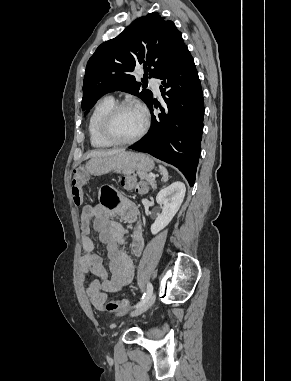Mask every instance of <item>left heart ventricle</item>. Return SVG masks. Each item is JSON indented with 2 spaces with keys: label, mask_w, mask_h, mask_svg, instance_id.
<instances>
[{
  "label": "left heart ventricle",
  "mask_w": 291,
  "mask_h": 381,
  "mask_svg": "<svg viewBox=\"0 0 291 381\" xmlns=\"http://www.w3.org/2000/svg\"><path fill=\"white\" fill-rule=\"evenodd\" d=\"M142 112L135 107H128L120 110L111 123V132L121 140L134 137L142 128Z\"/></svg>",
  "instance_id": "left-heart-ventricle-1"
}]
</instances>
